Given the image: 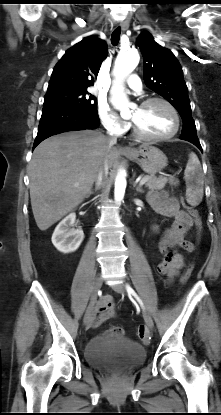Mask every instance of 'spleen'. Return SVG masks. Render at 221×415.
I'll use <instances>...</instances> for the list:
<instances>
[{
	"instance_id": "spleen-1",
	"label": "spleen",
	"mask_w": 221,
	"mask_h": 415,
	"mask_svg": "<svg viewBox=\"0 0 221 415\" xmlns=\"http://www.w3.org/2000/svg\"><path fill=\"white\" fill-rule=\"evenodd\" d=\"M186 181V198L189 204L197 206L203 198V174L200 161L195 153L189 154L184 171Z\"/></svg>"
}]
</instances>
